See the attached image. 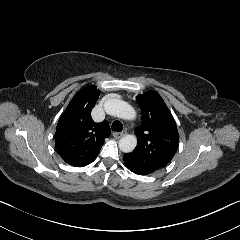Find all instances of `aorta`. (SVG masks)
Here are the masks:
<instances>
[{
  "mask_svg": "<svg viewBox=\"0 0 240 240\" xmlns=\"http://www.w3.org/2000/svg\"><path fill=\"white\" fill-rule=\"evenodd\" d=\"M104 110L108 115L119 117L121 119L132 120L136 113L131 105L127 102L111 98L104 103ZM137 145V138L135 135H125L119 140V149L124 153L132 152Z\"/></svg>",
  "mask_w": 240,
  "mask_h": 240,
  "instance_id": "aorta-1",
  "label": "aorta"
}]
</instances>
